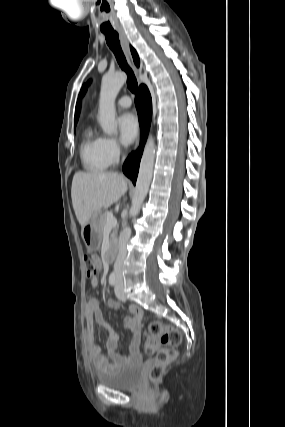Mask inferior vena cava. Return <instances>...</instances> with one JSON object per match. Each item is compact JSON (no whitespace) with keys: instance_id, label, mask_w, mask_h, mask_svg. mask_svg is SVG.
<instances>
[{"instance_id":"1","label":"inferior vena cava","mask_w":285,"mask_h":427,"mask_svg":"<svg viewBox=\"0 0 285 427\" xmlns=\"http://www.w3.org/2000/svg\"><path fill=\"white\" fill-rule=\"evenodd\" d=\"M131 236V229L130 228H124L123 231L120 233L119 237V252L117 259L114 264V271L117 275H120L123 269L124 260L127 255V249L126 245Z\"/></svg>"}]
</instances>
